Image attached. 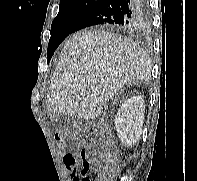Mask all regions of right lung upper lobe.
<instances>
[{"mask_svg": "<svg viewBox=\"0 0 197 181\" xmlns=\"http://www.w3.org/2000/svg\"><path fill=\"white\" fill-rule=\"evenodd\" d=\"M99 1H101V0H60L59 11L72 9V8H75V7L81 6V5L93 6L96 3H98ZM137 27H139V26H128V27L123 28L122 30L131 31Z\"/></svg>", "mask_w": 197, "mask_h": 181, "instance_id": "cb5924a9", "label": "right lung upper lobe"}]
</instances>
